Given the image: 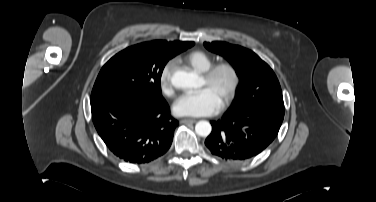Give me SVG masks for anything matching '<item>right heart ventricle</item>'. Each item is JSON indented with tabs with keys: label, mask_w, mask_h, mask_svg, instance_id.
<instances>
[{
	"label": "right heart ventricle",
	"mask_w": 376,
	"mask_h": 202,
	"mask_svg": "<svg viewBox=\"0 0 376 202\" xmlns=\"http://www.w3.org/2000/svg\"><path fill=\"white\" fill-rule=\"evenodd\" d=\"M177 61L199 73L205 72L213 64V58L207 52L202 50L192 51L183 57L178 58Z\"/></svg>",
	"instance_id": "right-heart-ventricle-1"
}]
</instances>
